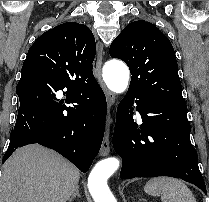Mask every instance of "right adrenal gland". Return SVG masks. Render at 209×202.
Here are the masks:
<instances>
[{"label":"right adrenal gland","mask_w":209,"mask_h":202,"mask_svg":"<svg viewBox=\"0 0 209 202\" xmlns=\"http://www.w3.org/2000/svg\"><path fill=\"white\" fill-rule=\"evenodd\" d=\"M76 197H81L80 193H79V186L76 188L74 194L69 198V202H72L73 199H75Z\"/></svg>","instance_id":"obj_1"}]
</instances>
